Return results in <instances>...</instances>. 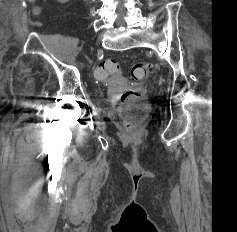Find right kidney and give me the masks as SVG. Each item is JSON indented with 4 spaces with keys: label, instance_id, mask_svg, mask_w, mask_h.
I'll return each instance as SVG.
<instances>
[{
    "label": "right kidney",
    "instance_id": "ca27d5eb",
    "mask_svg": "<svg viewBox=\"0 0 237 232\" xmlns=\"http://www.w3.org/2000/svg\"><path fill=\"white\" fill-rule=\"evenodd\" d=\"M69 0H58V2H60V3H66V2H68Z\"/></svg>",
    "mask_w": 237,
    "mask_h": 232
}]
</instances>
